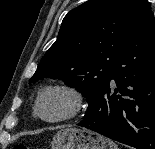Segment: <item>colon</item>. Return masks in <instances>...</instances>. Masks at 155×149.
I'll list each match as a JSON object with an SVG mask.
<instances>
[{
  "instance_id": "colon-1",
  "label": "colon",
  "mask_w": 155,
  "mask_h": 149,
  "mask_svg": "<svg viewBox=\"0 0 155 149\" xmlns=\"http://www.w3.org/2000/svg\"><path fill=\"white\" fill-rule=\"evenodd\" d=\"M15 149H28V147L25 145H17Z\"/></svg>"
}]
</instances>
